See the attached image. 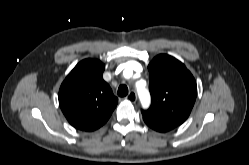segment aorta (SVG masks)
<instances>
[{"mask_svg":"<svg viewBox=\"0 0 249 165\" xmlns=\"http://www.w3.org/2000/svg\"><path fill=\"white\" fill-rule=\"evenodd\" d=\"M137 91H138V95H139L142 106L144 108H148L150 105V94L148 90L145 87L138 85Z\"/></svg>","mask_w":249,"mask_h":165,"instance_id":"aorta-1","label":"aorta"}]
</instances>
